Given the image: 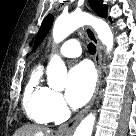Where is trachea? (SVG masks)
I'll use <instances>...</instances> for the list:
<instances>
[{"mask_svg":"<svg viewBox=\"0 0 136 136\" xmlns=\"http://www.w3.org/2000/svg\"><path fill=\"white\" fill-rule=\"evenodd\" d=\"M88 51L90 54H95L96 53V46L92 43L88 44Z\"/></svg>","mask_w":136,"mask_h":136,"instance_id":"1","label":"trachea"}]
</instances>
